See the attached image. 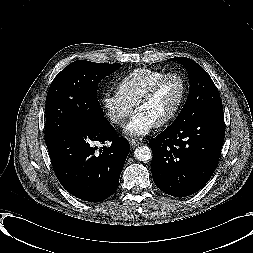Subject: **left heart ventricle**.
Wrapping results in <instances>:
<instances>
[{
	"mask_svg": "<svg viewBox=\"0 0 253 253\" xmlns=\"http://www.w3.org/2000/svg\"><path fill=\"white\" fill-rule=\"evenodd\" d=\"M181 92L180 81L175 77H170L159 86L153 97L139 106L136 111L158 123L176 108Z\"/></svg>",
	"mask_w": 253,
	"mask_h": 253,
	"instance_id": "obj_1",
	"label": "left heart ventricle"
}]
</instances>
